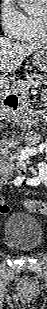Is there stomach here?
I'll return each mask as SVG.
<instances>
[{
  "label": "stomach",
  "mask_w": 47,
  "mask_h": 309,
  "mask_svg": "<svg viewBox=\"0 0 47 309\" xmlns=\"http://www.w3.org/2000/svg\"><path fill=\"white\" fill-rule=\"evenodd\" d=\"M32 64L37 68L47 71V46L36 51L32 58Z\"/></svg>",
  "instance_id": "stomach-1"
}]
</instances>
